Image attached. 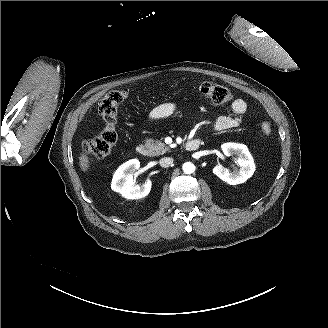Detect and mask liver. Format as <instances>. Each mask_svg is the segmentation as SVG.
<instances>
[{"instance_id": "obj_1", "label": "liver", "mask_w": 328, "mask_h": 328, "mask_svg": "<svg viewBox=\"0 0 328 328\" xmlns=\"http://www.w3.org/2000/svg\"><path fill=\"white\" fill-rule=\"evenodd\" d=\"M79 168L83 173H88L92 167V159L87 150H81L78 156Z\"/></svg>"}]
</instances>
